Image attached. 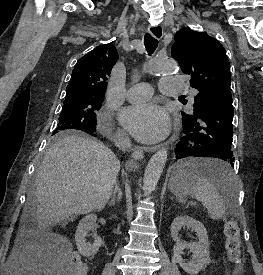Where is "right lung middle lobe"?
Segmentation results:
<instances>
[{"instance_id": "right-lung-middle-lobe-1", "label": "right lung middle lobe", "mask_w": 263, "mask_h": 275, "mask_svg": "<svg viewBox=\"0 0 263 275\" xmlns=\"http://www.w3.org/2000/svg\"><path fill=\"white\" fill-rule=\"evenodd\" d=\"M103 96L79 95L66 98L60 113L59 123L52 136L59 140L67 130L95 132L96 113L101 108Z\"/></svg>"}]
</instances>
